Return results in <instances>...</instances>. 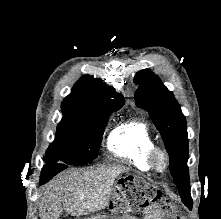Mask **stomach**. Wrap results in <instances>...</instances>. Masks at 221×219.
I'll list each match as a JSON object with an SVG mask.
<instances>
[{"label": "stomach", "mask_w": 221, "mask_h": 219, "mask_svg": "<svg viewBox=\"0 0 221 219\" xmlns=\"http://www.w3.org/2000/svg\"><path fill=\"white\" fill-rule=\"evenodd\" d=\"M155 195H166V190H155Z\"/></svg>", "instance_id": "1"}]
</instances>
